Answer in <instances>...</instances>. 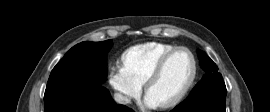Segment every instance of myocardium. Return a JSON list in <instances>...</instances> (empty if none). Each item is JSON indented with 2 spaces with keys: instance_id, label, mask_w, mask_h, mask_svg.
<instances>
[{
  "instance_id": "f54148a6",
  "label": "myocardium",
  "mask_w": 270,
  "mask_h": 112,
  "mask_svg": "<svg viewBox=\"0 0 270 112\" xmlns=\"http://www.w3.org/2000/svg\"><path fill=\"white\" fill-rule=\"evenodd\" d=\"M180 51H184V52L189 54L191 61H192V73H191V76H190L187 84L184 86V88L181 90V92L178 95H176L174 98L170 99L169 101H167L163 104H160V106L162 108H170V107H173V106H176L177 104H179L186 97V95L189 93L192 86L194 85L195 80L197 78V72H198L197 60H196L194 53L189 48L184 47V46H177V47L173 48L172 50L165 53L159 59V61L157 62V64L155 65V67L153 68V70L151 71V73L149 74V76L147 77V79L144 83V90L147 93L149 87L159 78V76L163 72L169 59L174 54H176L177 52H180Z\"/></svg>"
}]
</instances>
